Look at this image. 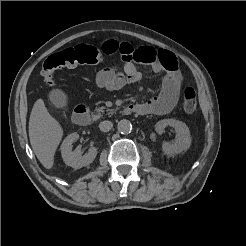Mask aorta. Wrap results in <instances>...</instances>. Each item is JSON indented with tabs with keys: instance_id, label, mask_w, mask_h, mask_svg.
<instances>
[{
	"instance_id": "obj_1",
	"label": "aorta",
	"mask_w": 246,
	"mask_h": 246,
	"mask_svg": "<svg viewBox=\"0 0 246 246\" xmlns=\"http://www.w3.org/2000/svg\"><path fill=\"white\" fill-rule=\"evenodd\" d=\"M117 129L122 134H128L132 131V124L129 120L122 119L118 122Z\"/></svg>"
}]
</instances>
